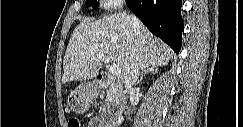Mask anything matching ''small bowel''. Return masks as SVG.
I'll list each match as a JSON object with an SVG mask.
<instances>
[{"label": "small bowel", "mask_w": 243, "mask_h": 127, "mask_svg": "<svg viewBox=\"0 0 243 127\" xmlns=\"http://www.w3.org/2000/svg\"><path fill=\"white\" fill-rule=\"evenodd\" d=\"M89 126L90 127H102L101 125H100V119L99 118H94V119H92L91 121H90V123H89ZM104 127V126H103Z\"/></svg>", "instance_id": "obj_1"}]
</instances>
